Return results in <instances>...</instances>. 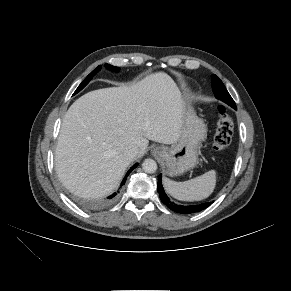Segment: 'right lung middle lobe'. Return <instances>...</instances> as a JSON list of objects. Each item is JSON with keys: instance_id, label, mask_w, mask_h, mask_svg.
I'll return each mask as SVG.
<instances>
[{"instance_id": "1", "label": "right lung middle lobe", "mask_w": 291, "mask_h": 291, "mask_svg": "<svg viewBox=\"0 0 291 291\" xmlns=\"http://www.w3.org/2000/svg\"><path fill=\"white\" fill-rule=\"evenodd\" d=\"M109 69L111 70H118L117 67H114L112 65L107 64L106 65ZM101 68V66H98L96 69H94L86 78L85 80L79 85V87L76 89V91L74 92V94L78 93L80 90H82L88 83L89 81L92 79V77L97 73V71H99ZM73 94V95H74Z\"/></svg>"}]
</instances>
